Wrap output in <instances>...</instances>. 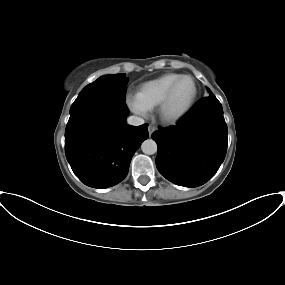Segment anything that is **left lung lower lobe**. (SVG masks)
Wrapping results in <instances>:
<instances>
[{
    "label": "left lung lower lobe",
    "mask_w": 285,
    "mask_h": 285,
    "mask_svg": "<svg viewBox=\"0 0 285 285\" xmlns=\"http://www.w3.org/2000/svg\"><path fill=\"white\" fill-rule=\"evenodd\" d=\"M156 166L169 181L185 187L206 183L222 164L228 143L223 109L212 94L200 100L176 126L152 134Z\"/></svg>",
    "instance_id": "left-lung-lower-lobe-1"
}]
</instances>
